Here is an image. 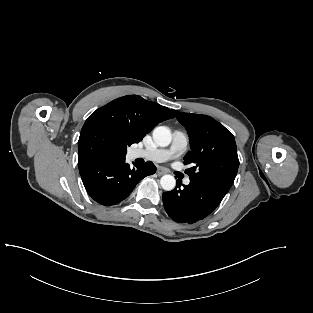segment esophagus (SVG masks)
<instances>
[{
	"label": "esophagus",
	"instance_id": "esophagus-1",
	"mask_svg": "<svg viewBox=\"0 0 313 313\" xmlns=\"http://www.w3.org/2000/svg\"><path fill=\"white\" fill-rule=\"evenodd\" d=\"M166 173H167V171H166L165 169H163V168H161V167L157 168V174H158L159 176L164 175V174H166Z\"/></svg>",
	"mask_w": 313,
	"mask_h": 313
}]
</instances>
